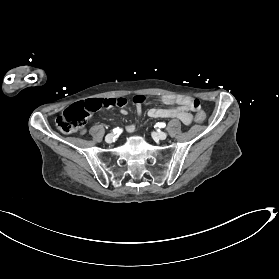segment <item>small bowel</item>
Here are the masks:
<instances>
[{
	"label": "small bowel",
	"instance_id": "obj_1",
	"mask_svg": "<svg viewBox=\"0 0 279 279\" xmlns=\"http://www.w3.org/2000/svg\"><path fill=\"white\" fill-rule=\"evenodd\" d=\"M160 101L166 105L176 104L177 106L171 108H151L148 111V115L151 118H178L185 125H189L192 121V115L190 113V109L183 104V102L179 98H175L173 96H162L160 97ZM138 115H141V107L137 108ZM121 113L123 115L127 114L126 109H122ZM135 130V125L129 124L126 126L125 131L127 133H132Z\"/></svg>",
	"mask_w": 279,
	"mask_h": 279
}]
</instances>
